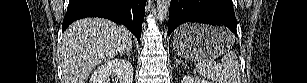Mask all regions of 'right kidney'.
<instances>
[{
	"label": "right kidney",
	"mask_w": 307,
	"mask_h": 83,
	"mask_svg": "<svg viewBox=\"0 0 307 83\" xmlns=\"http://www.w3.org/2000/svg\"><path fill=\"white\" fill-rule=\"evenodd\" d=\"M133 74V67L129 61L116 58L98 66L89 83H110L111 77L114 78L113 83H132Z\"/></svg>",
	"instance_id": "right-kidney-1"
}]
</instances>
